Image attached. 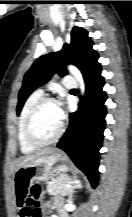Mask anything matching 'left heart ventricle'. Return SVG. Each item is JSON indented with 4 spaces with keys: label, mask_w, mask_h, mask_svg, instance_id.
Returning a JSON list of instances; mask_svg holds the SVG:
<instances>
[{
    "label": "left heart ventricle",
    "mask_w": 132,
    "mask_h": 217,
    "mask_svg": "<svg viewBox=\"0 0 132 217\" xmlns=\"http://www.w3.org/2000/svg\"><path fill=\"white\" fill-rule=\"evenodd\" d=\"M61 119L55 104L45 105L33 122V132L41 141L53 138L59 130Z\"/></svg>",
    "instance_id": "obj_1"
}]
</instances>
